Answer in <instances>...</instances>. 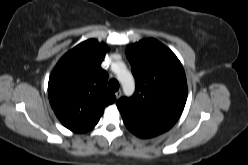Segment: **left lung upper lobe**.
<instances>
[{
	"instance_id": "5c2ea615",
	"label": "left lung upper lobe",
	"mask_w": 248,
	"mask_h": 165,
	"mask_svg": "<svg viewBox=\"0 0 248 165\" xmlns=\"http://www.w3.org/2000/svg\"><path fill=\"white\" fill-rule=\"evenodd\" d=\"M126 56L136 91L132 97L117 101L123 120L158 134L166 132L179 119L187 99L181 62L169 48L152 38L129 45Z\"/></svg>"
}]
</instances>
